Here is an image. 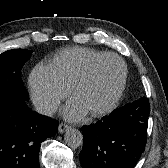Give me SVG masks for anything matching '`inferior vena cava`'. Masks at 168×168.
<instances>
[{
  "instance_id": "obj_1",
  "label": "inferior vena cava",
  "mask_w": 168,
  "mask_h": 168,
  "mask_svg": "<svg viewBox=\"0 0 168 168\" xmlns=\"http://www.w3.org/2000/svg\"><path fill=\"white\" fill-rule=\"evenodd\" d=\"M35 109L39 114L52 116L57 109V105L50 102H41L35 105Z\"/></svg>"
}]
</instances>
